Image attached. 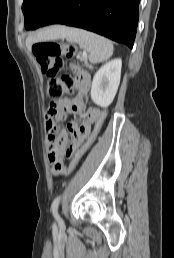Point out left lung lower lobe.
<instances>
[{
    "label": "left lung lower lobe",
    "mask_w": 174,
    "mask_h": 258,
    "mask_svg": "<svg viewBox=\"0 0 174 258\" xmlns=\"http://www.w3.org/2000/svg\"><path fill=\"white\" fill-rule=\"evenodd\" d=\"M140 0H63L42 26L65 24L93 31L132 48Z\"/></svg>",
    "instance_id": "1"
}]
</instances>
